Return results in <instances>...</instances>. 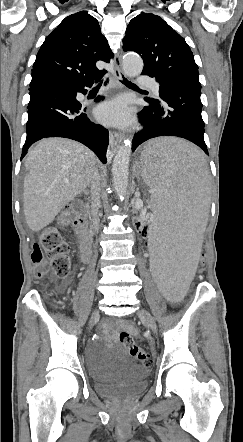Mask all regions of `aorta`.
Wrapping results in <instances>:
<instances>
[{"label":"aorta","mask_w":243,"mask_h":442,"mask_svg":"<svg viewBox=\"0 0 243 442\" xmlns=\"http://www.w3.org/2000/svg\"><path fill=\"white\" fill-rule=\"evenodd\" d=\"M123 70L126 75L134 77L143 69L142 59L134 54H126L122 60ZM132 139L126 138L119 147L112 164V181L115 193L120 200L127 194L129 161L131 156Z\"/></svg>","instance_id":"aorta-1"}]
</instances>
